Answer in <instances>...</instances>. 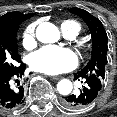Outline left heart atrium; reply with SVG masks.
<instances>
[{
  "label": "left heart atrium",
  "instance_id": "1",
  "mask_svg": "<svg viewBox=\"0 0 117 117\" xmlns=\"http://www.w3.org/2000/svg\"><path fill=\"white\" fill-rule=\"evenodd\" d=\"M29 63L35 71L56 75L73 69L77 57L70 49L45 46L31 55Z\"/></svg>",
  "mask_w": 117,
  "mask_h": 117
}]
</instances>
